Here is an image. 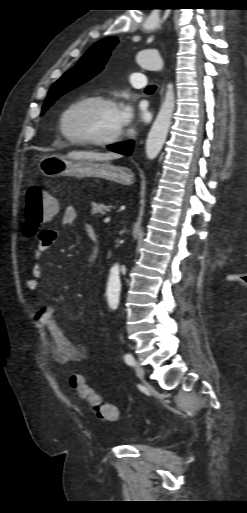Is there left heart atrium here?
Returning <instances> with one entry per match:
<instances>
[{"instance_id": "left-heart-atrium-1", "label": "left heart atrium", "mask_w": 247, "mask_h": 513, "mask_svg": "<svg viewBox=\"0 0 247 513\" xmlns=\"http://www.w3.org/2000/svg\"><path fill=\"white\" fill-rule=\"evenodd\" d=\"M117 114L121 128L130 125L134 120V110L129 103L120 105L117 108Z\"/></svg>"}]
</instances>
